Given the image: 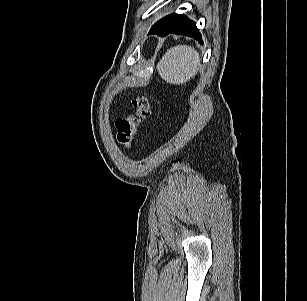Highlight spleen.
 Here are the masks:
<instances>
[{
  "mask_svg": "<svg viewBox=\"0 0 307 301\" xmlns=\"http://www.w3.org/2000/svg\"><path fill=\"white\" fill-rule=\"evenodd\" d=\"M199 66V53L194 47L177 45L163 55L157 64V71L167 83L180 85L194 77Z\"/></svg>",
  "mask_w": 307,
  "mask_h": 301,
  "instance_id": "1",
  "label": "spleen"
}]
</instances>
